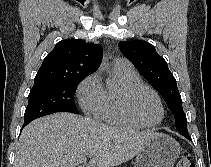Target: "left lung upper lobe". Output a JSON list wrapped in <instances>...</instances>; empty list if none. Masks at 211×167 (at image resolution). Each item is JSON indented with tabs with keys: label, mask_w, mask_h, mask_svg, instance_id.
Returning <instances> with one entry per match:
<instances>
[{
	"label": "left lung upper lobe",
	"mask_w": 211,
	"mask_h": 167,
	"mask_svg": "<svg viewBox=\"0 0 211 167\" xmlns=\"http://www.w3.org/2000/svg\"><path fill=\"white\" fill-rule=\"evenodd\" d=\"M119 48L164 98L175 117L176 130L180 134H188L187 119L176 80L163 57L153 45L141 40L120 42Z\"/></svg>",
	"instance_id": "5c2ea615"
}]
</instances>
